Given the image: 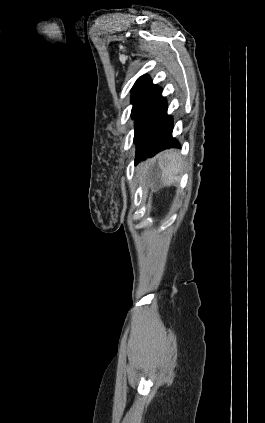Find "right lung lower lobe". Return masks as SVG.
<instances>
[{
	"label": "right lung lower lobe",
	"mask_w": 265,
	"mask_h": 423,
	"mask_svg": "<svg viewBox=\"0 0 265 423\" xmlns=\"http://www.w3.org/2000/svg\"><path fill=\"white\" fill-rule=\"evenodd\" d=\"M157 88L146 99L135 116V135L137 164L161 150L178 147L172 137L173 119L167 115V103Z\"/></svg>",
	"instance_id": "1"
}]
</instances>
